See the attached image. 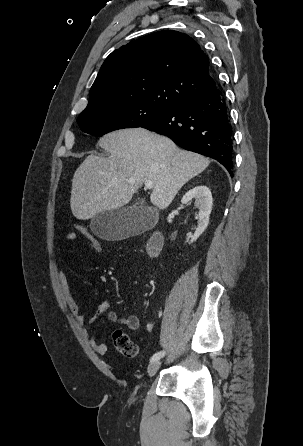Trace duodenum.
Masks as SVG:
<instances>
[{"mask_svg": "<svg viewBox=\"0 0 303 446\" xmlns=\"http://www.w3.org/2000/svg\"><path fill=\"white\" fill-rule=\"evenodd\" d=\"M163 246V237L160 233H154L147 243V252L150 256L157 255Z\"/></svg>", "mask_w": 303, "mask_h": 446, "instance_id": "obj_1", "label": "duodenum"}]
</instances>
